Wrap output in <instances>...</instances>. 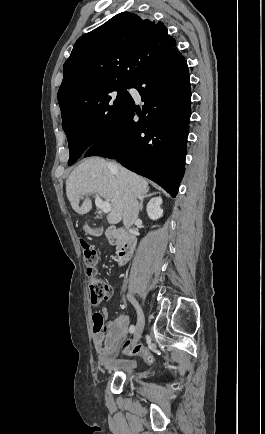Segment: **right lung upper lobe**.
Here are the masks:
<instances>
[{
  "label": "right lung upper lobe",
  "mask_w": 265,
  "mask_h": 434,
  "mask_svg": "<svg viewBox=\"0 0 265 434\" xmlns=\"http://www.w3.org/2000/svg\"><path fill=\"white\" fill-rule=\"evenodd\" d=\"M176 47L167 27L152 17L122 12L81 36L63 66L58 98L105 79L135 80Z\"/></svg>",
  "instance_id": "1"
}]
</instances>
